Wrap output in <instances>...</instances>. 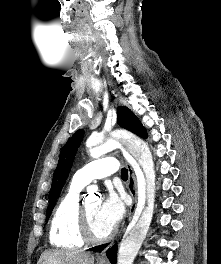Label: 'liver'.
Masks as SVG:
<instances>
[{
  "instance_id": "6515ba94",
  "label": "liver",
  "mask_w": 221,
  "mask_h": 264,
  "mask_svg": "<svg viewBox=\"0 0 221 264\" xmlns=\"http://www.w3.org/2000/svg\"><path fill=\"white\" fill-rule=\"evenodd\" d=\"M37 264H94V256L82 251L47 250L41 254Z\"/></svg>"
}]
</instances>
